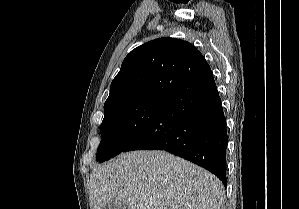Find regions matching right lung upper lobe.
<instances>
[{
	"label": "right lung upper lobe",
	"mask_w": 299,
	"mask_h": 209,
	"mask_svg": "<svg viewBox=\"0 0 299 209\" xmlns=\"http://www.w3.org/2000/svg\"><path fill=\"white\" fill-rule=\"evenodd\" d=\"M210 70L203 55L187 41L159 38L147 42L124 59L104 111L142 101L165 102L189 79Z\"/></svg>",
	"instance_id": "right-lung-upper-lobe-1"
}]
</instances>
